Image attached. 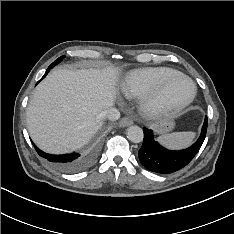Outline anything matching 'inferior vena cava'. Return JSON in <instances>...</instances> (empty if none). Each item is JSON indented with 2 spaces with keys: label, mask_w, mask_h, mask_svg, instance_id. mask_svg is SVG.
I'll return each instance as SVG.
<instances>
[{
  "label": "inferior vena cava",
  "mask_w": 234,
  "mask_h": 234,
  "mask_svg": "<svg viewBox=\"0 0 234 234\" xmlns=\"http://www.w3.org/2000/svg\"><path fill=\"white\" fill-rule=\"evenodd\" d=\"M100 117L102 119H108L110 121H115V120H118L120 118V112L118 109H116L114 107H109L106 110L102 111V113L100 114Z\"/></svg>",
  "instance_id": "obj_1"
}]
</instances>
